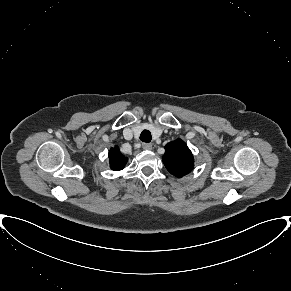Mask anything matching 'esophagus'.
<instances>
[{"label":"esophagus","instance_id":"esophagus-1","mask_svg":"<svg viewBox=\"0 0 291 291\" xmlns=\"http://www.w3.org/2000/svg\"><path fill=\"white\" fill-rule=\"evenodd\" d=\"M142 148L144 150H151L152 149V144L151 143H143Z\"/></svg>","mask_w":291,"mask_h":291}]
</instances>
